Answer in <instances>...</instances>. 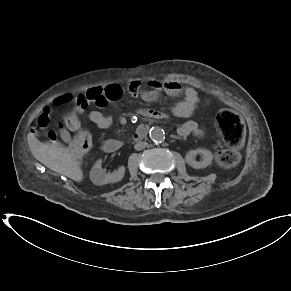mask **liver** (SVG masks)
Instances as JSON below:
<instances>
[{"instance_id":"1","label":"liver","mask_w":291,"mask_h":291,"mask_svg":"<svg viewBox=\"0 0 291 291\" xmlns=\"http://www.w3.org/2000/svg\"><path fill=\"white\" fill-rule=\"evenodd\" d=\"M32 155L46 167L80 182L83 180V171L73 150L60 143H42L35 137L28 139Z\"/></svg>"}]
</instances>
